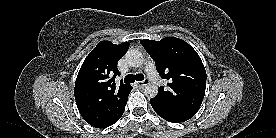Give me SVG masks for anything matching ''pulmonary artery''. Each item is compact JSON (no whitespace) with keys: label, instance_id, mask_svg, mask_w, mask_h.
I'll return each instance as SVG.
<instances>
[{"label":"pulmonary artery","instance_id":"obj_1","mask_svg":"<svg viewBox=\"0 0 276 138\" xmlns=\"http://www.w3.org/2000/svg\"><path fill=\"white\" fill-rule=\"evenodd\" d=\"M145 69H146V72H147V75H148V79L152 83H154L156 85H160L162 83V79L158 75V73L156 71V68H155V65L151 60L146 62Z\"/></svg>","mask_w":276,"mask_h":138}]
</instances>
